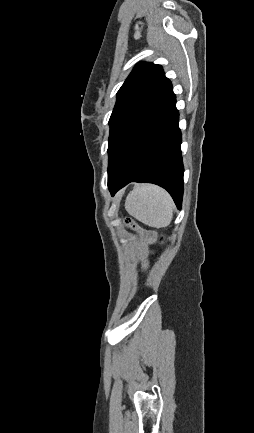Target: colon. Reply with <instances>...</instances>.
Returning a JSON list of instances; mask_svg holds the SVG:
<instances>
[{
    "label": "colon",
    "mask_w": 254,
    "mask_h": 433,
    "mask_svg": "<svg viewBox=\"0 0 254 433\" xmlns=\"http://www.w3.org/2000/svg\"><path fill=\"white\" fill-rule=\"evenodd\" d=\"M129 227H135V223L131 219H127L125 222Z\"/></svg>",
    "instance_id": "1"
}]
</instances>
